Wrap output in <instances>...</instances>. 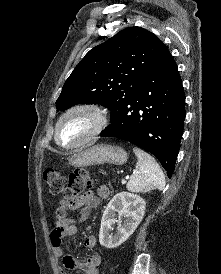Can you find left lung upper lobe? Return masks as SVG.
Listing matches in <instances>:
<instances>
[{"label":"left lung upper lobe","instance_id":"obj_1","mask_svg":"<svg viewBox=\"0 0 221 274\" xmlns=\"http://www.w3.org/2000/svg\"><path fill=\"white\" fill-rule=\"evenodd\" d=\"M168 53L152 32L125 28L91 49L75 67L56 101L57 111L99 103L115 114L137 94L143 78Z\"/></svg>","mask_w":221,"mask_h":274}]
</instances>
